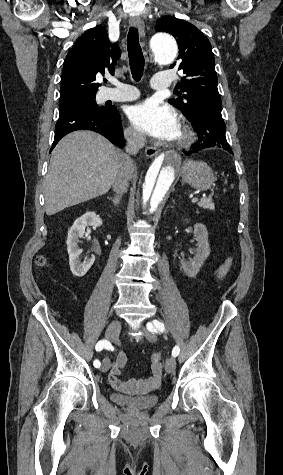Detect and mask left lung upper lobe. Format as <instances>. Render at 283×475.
Masks as SVG:
<instances>
[{"mask_svg": "<svg viewBox=\"0 0 283 475\" xmlns=\"http://www.w3.org/2000/svg\"><path fill=\"white\" fill-rule=\"evenodd\" d=\"M157 32H167L173 35L179 46V65L184 76L177 84L183 97L169 99V103L181 109L185 116L193 117L199 106L204 103L221 104L217 89V74L211 44L206 36L191 23L172 16L160 18L155 25Z\"/></svg>", "mask_w": 283, "mask_h": 475, "instance_id": "1", "label": "left lung upper lobe"}]
</instances>
